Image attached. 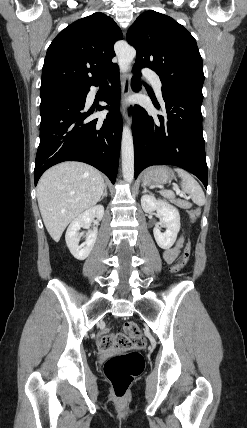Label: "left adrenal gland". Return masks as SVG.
<instances>
[{
	"label": "left adrenal gland",
	"instance_id": "a2214340",
	"mask_svg": "<svg viewBox=\"0 0 247 428\" xmlns=\"http://www.w3.org/2000/svg\"><path fill=\"white\" fill-rule=\"evenodd\" d=\"M142 187H143V189H144V190H143V193H145V192H149V191H148V189H147V187H146L145 185H143V184H142Z\"/></svg>",
	"mask_w": 247,
	"mask_h": 428
}]
</instances>
